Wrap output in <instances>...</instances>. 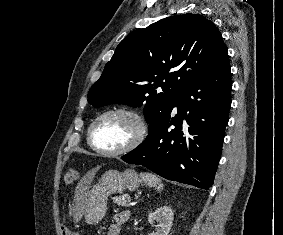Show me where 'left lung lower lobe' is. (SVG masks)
<instances>
[{
    "instance_id": "1",
    "label": "left lung lower lobe",
    "mask_w": 283,
    "mask_h": 235,
    "mask_svg": "<svg viewBox=\"0 0 283 235\" xmlns=\"http://www.w3.org/2000/svg\"><path fill=\"white\" fill-rule=\"evenodd\" d=\"M231 88L228 61L188 82L170 113L122 160L143 165L166 179L208 190L221 156ZM174 108L177 114L172 117ZM172 125L174 129H170Z\"/></svg>"
}]
</instances>
